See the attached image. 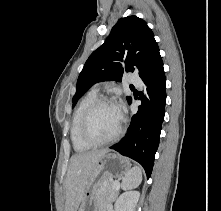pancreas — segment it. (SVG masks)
<instances>
[{"label":"pancreas","mask_w":221,"mask_h":211,"mask_svg":"<svg viewBox=\"0 0 221 211\" xmlns=\"http://www.w3.org/2000/svg\"><path fill=\"white\" fill-rule=\"evenodd\" d=\"M118 194L119 190L114 188L113 180L100 184L95 192L97 211H106L108 205L117 198Z\"/></svg>","instance_id":"obj_1"}]
</instances>
